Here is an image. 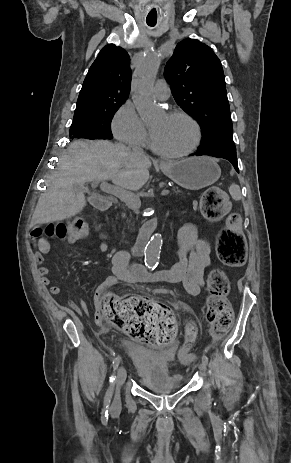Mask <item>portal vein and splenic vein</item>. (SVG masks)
Wrapping results in <instances>:
<instances>
[{
  "mask_svg": "<svg viewBox=\"0 0 291 463\" xmlns=\"http://www.w3.org/2000/svg\"><path fill=\"white\" fill-rule=\"evenodd\" d=\"M95 183H100V188L106 193H110L120 200L128 204V206L134 210H137L141 206L140 198L133 192L117 185H111L105 180H96ZM168 189H163L161 195L169 194Z\"/></svg>",
  "mask_w": 291,
  "mask_h": 463,
  "instance_id": "obj_1",
  "label": "portal vein and splenic vein"
}]
</instances>
